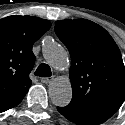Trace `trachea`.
I'll use <instances>...</instances> for the list:
<instances>
[{
  "label": "trachea",
  "mask_w": 125,
  "mask_h": 125,
  "mask_svg": "<svg viewBox=\"0 0 125 125\" xmlns=\"http://www.w3.org/2000/svg\"><path fill=\"white\" fill-rule=\"evenodd\" d=\"M34 74L39 77H50L52 72L49 65L42 63L38 66Z\"/></svg>",
  "instance_id": "3493384b"
}]
</instances>
